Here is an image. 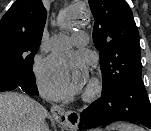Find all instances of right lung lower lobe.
I'll list each match as a JSON object with an SVG mask.
<instances>
[{
	"instance_id": "98d812e1",
	"label": "right lung lower lobe",
	"mask_w": 151,
	"mask_h": 131,
	"mask_svg": "<svg viewBox=\"0 0 151 131\" xmlns=\"http://www.w3.org/2000/svg\"><path fill=\"white\" fill-rule=\"evenodd\" d=\"M21 88L28 95H38V89L35 84V76L19 80L18 82H10L3 76H0V91L14 90L15 88Z\"/></svg>"
}]
</instances>
